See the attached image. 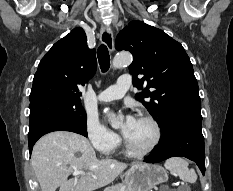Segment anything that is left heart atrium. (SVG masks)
<instances>
[{"label":"left heart atrium","instance_id":"39dd6f15","mask_svg":"<svg viewBox=\"0 0 233 191\" xmlns=\"http://www.w3.org/2000/svg\"><path fill=\"white\" fill-rule=\"evenodd\" d=\"M135 118L133 117V116H127L126 117V120H125V128L127 129V128H130L132 125H133V123L135 122Z\"/></svg>","mask_w":233,"mask_h":191}]
</instances>
